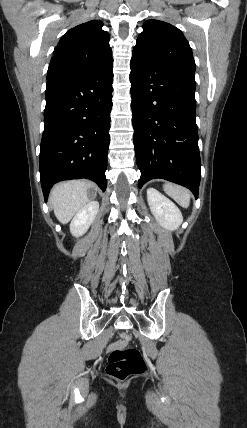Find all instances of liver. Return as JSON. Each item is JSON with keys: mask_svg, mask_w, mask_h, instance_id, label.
<instances>
[{"mask_svg": "<svg viewBox=\"0 0 247 428\" xmlns=\"http://www.w3.org/2000/svg\"><path fill=\"white\" fill-rule=\"evenodd\" d=\"M94 185L86 180H72L56 184L50 193V202L58 221L67 224L89 201L87 191Z\"/></svg>", "mask_w": 247, "mask_h": 428, "instance_id": "1", "label": "liver"}]
</instances>
